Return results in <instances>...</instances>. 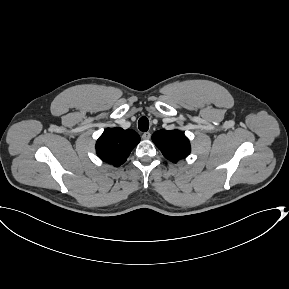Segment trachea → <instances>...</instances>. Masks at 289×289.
<instances>
[{"instance_id": "3493384b", "label": "trachea", "mask_w": 289, "mask_h": 289, "mask_svg": "<svg viewBox=\"0 0 289 289\" xmlns=\"http://www.w3.org/2000/svg\"><path fill=\"white\" fill-rule=\"evenodd\" d=\"M138 128L140 131L146 132L149 129V120L146 117H141L138 121Z\"/></svg>"}]
</instances>
